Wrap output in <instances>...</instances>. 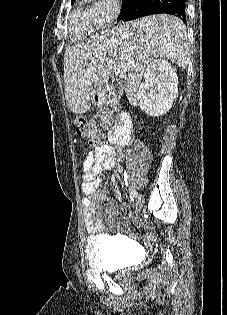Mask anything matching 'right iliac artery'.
<instances>
[{
	"mask_svg": "<svg viewBox=\"0 0 227 315\" xmlns=\"http://www.w3.org/2000/svg\"><path fill=\"white\" fill-rule=\"evenodd\" d=\"M127 191H128V194H129L130 198H131L133 201L138 198V193H137L135 190H133L132 188L129 187V188L127 189Z\"/></svg>",
	"mask_w": 227,
	"mask_h": 315,
	"instance_id": "82829eb1",
	"label": "right iliac artery"
}]
</instances>
